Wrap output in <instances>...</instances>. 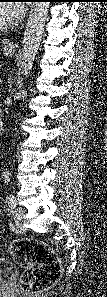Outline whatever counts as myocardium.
<instances>
[{"label": "myocardium", "instance_id": "obj_1", "mask_svg": "<svg viewBox=\"0 0 107 297\" xmlns=\"http://www.w3.org/2000/svg\"><path fill=\"white\" fill-rule=\"evenodd\" d=\"M11 26L12 25L10 23H7V24L0 23V32L7 31L9 28H11Z\"/></svg>", "mask_w": 107, "mask_h": 297}]
</instances>
